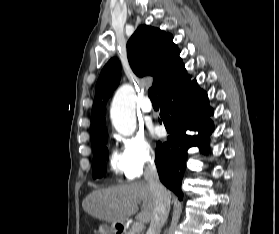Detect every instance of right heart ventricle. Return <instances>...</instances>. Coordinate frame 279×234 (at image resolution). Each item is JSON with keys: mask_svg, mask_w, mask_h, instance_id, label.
Returning <instances> with one entry per match:
<instances>
[{"mask_svg": "<svg viewBox=\"0 0 279 234\" xmlns=\"http://www.w3.org/2000/svg\"><path fill=\"white\" fill-rule=\"evenodd\" d=\"M110 165L112 170L116 174H125L126 175V164L122 154L117 151H113L110 157Z\"/></svg>", "mask_w": 279, "mask_h": 234, "instance_id": "e07e8e85", "label": "right heart ventricle"}]
</instances>
